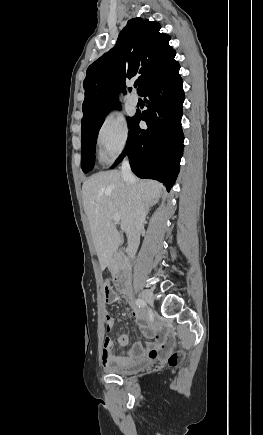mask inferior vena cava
<instances>
[{
  "label": "inferior vena cava",
  "mask_w": 263,
  "mask_h": 435,
  "mask_svg": "<svg viewBox=\"0 0 263 435\" xmlns=\"http://www.w3.org/2000/svg\"><path fill=\"white\" fill-rule=\"evenodd\" d=\"M121 175L127 186L130 204V223L127 231V252L129 257L133 258L139 246L140 232L143 228L147 211L145 204L141 201L137 193L136 179L131 172V168L127 159L122 162Z\"/></svg>",
  "instance_id": "inferior-vena-cava-1"
}]
</instances>
